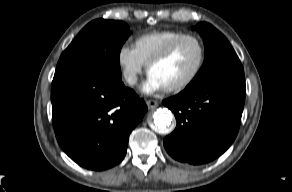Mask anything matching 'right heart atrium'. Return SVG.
Here are the masks:
<instances>
[{
  "mask_svg": "<svg viewBox=\"0 0 292 192\" xmlns=\"http://www.w3.org/2000/svg\"><path fill=\"white\" fill-rule=\"evenodd\" d=\"M116 60L123 80L129 86H134L145 66L135 48L122 44L117 51Z\"/></svg>",
  "mask_w": 292,
  "mask_h": 192,
  "instance_id": "right-heart-atrium-1",
  "label": "right heart atrium"
}]
</instances>
